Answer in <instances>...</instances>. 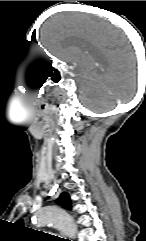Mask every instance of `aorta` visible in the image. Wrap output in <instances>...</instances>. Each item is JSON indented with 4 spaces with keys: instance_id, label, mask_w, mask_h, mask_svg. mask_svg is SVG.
<instances>
[{
    "instance_id": "762f6f07",
    "label": "aorta",
    "mask_w": 146,
    "mask_h": 241,
    "mask_svg": "<svg viewBox=\"0 0 146 241\" xmlns=\"http://www.w3.org/2000/svg\"><path fill=\"white\" fill-rule=\"evenodd\" d=\"M33 222L37 226L52 224L71 239H74L77 234V226L72 217L65 210L56 206H46L38 210L34 215Z\"/></svg>"
}]
</instances>
